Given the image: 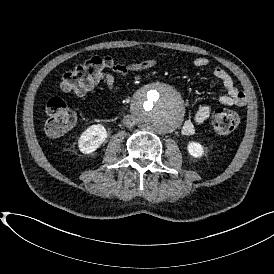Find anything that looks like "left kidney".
Instances as JSON below:
<instances>
[{
    "instance_id": "5707ae66",
    "label": "left kidney",
    "mask_w": 274,
    "mask_h": 274,
    "mask_svg": "<svg viewBox=\"0 0 274 274\" xmlns=\"http://www.w3.org/2000/svg\"><path fill=\"white\" fill-rule=\"evenodd\" d=\"M187 152L193 157L200 159L206 155L205 147L197 141H190L187 143Z\"/></svg>"
}]
</instances>
